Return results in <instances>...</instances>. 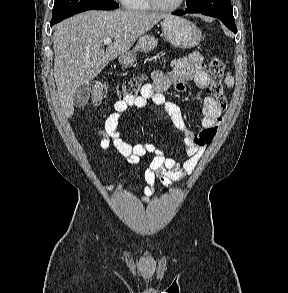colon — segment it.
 <instances>
[{
    "mask_svg": "<svg viewBox=\"0 0 288 293\" xmlns=\"http://www.w3.org/2000/svg\"><path fill=\"white\" fill-rule=\"evenodd\" d=\"M224 63L221 59L216 56H211L207 65V71L209 76V88L208 92L218 102L221 108H225L227 101L223 90V74H224ZM144 77H133L126 80L116 88L117 97L122 100L127 96L135 95L140 91L144 84ZM108 93V87L105 82L96 81L91 87V102L93 104L101 103Z\"/></svg>",
    "mask_w": 288,
    "mask_h": 293,
    "instance_id": "colon-1",
    "label": "colon"
}]
</instances>
